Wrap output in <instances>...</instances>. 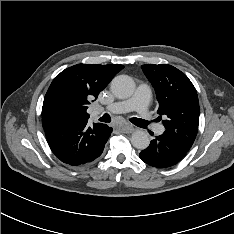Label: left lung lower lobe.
Listing matches in <instances>:
<instances>
[{"label":"left lung lower lobe","instance_id":"0a47b994","mask_svg":"<svg viewBox=\"0 0 234 234\" xmlns=\"http://www.w3.org/2000/svg\"><path fill=\"white\" fill-rule=\"evenodd\" d=\"M168 135L163 133L150 142V145L140 152L141 160L157 168H167L178 163L187 153Z\"/></svg>","mask_w":234,"mask_h":234}]
</instances>
